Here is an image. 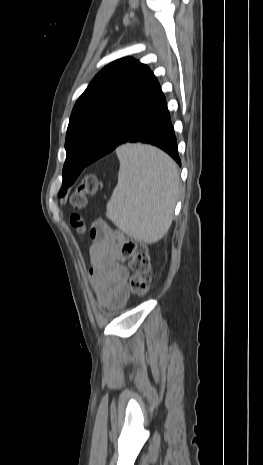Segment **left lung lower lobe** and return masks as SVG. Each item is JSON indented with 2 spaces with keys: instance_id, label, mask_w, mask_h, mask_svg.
<instances>
[{
  "instance_id": "left-lung-lower-lobe-1",
  "label": "left lung lower lobe",
  "mask_w": 263,
  "mask_h": 465,
  "mask_svg": "<svg viewBox=\"0 0 263 465\" xmlns=\"http://www.w3.org/2000/svg\"><path fill=\"white\" fill-rule=\"evenodd\" d=\"M128 142L155 145L166 151L181 165L166 100L152 72L130 103L115 114L111 125L103 133L92 155L85 162L86 166L112 152L117 146ZM79 163L78 159L67 158L63 176L69 175L73 167H78ZM75 176L76 173L73 171L69 183Z\"/></svg>"
}]
</instances>
